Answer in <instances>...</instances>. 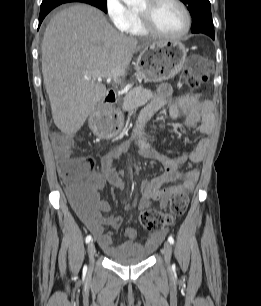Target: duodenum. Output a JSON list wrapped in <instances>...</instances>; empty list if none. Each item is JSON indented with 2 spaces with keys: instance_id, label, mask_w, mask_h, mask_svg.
Segmentation results:
<instances>
[{
  "instance_id": "410a0bca",
  "label": "duodenum",
  "mask_w": 261,
  "mask_h": 306,
  "mask_svg": "<svg viewBox=\"0 0 261 306\" xmlns=\"http://www.w3.org/2000/svg\"><path fill=\"white\" fill-rule=\"evenodd\" d=\"M116 99V93L112 89L108 90L103 100V106L106 108L112 106L116 102Z\"/></svg>"
}]
</instances>
